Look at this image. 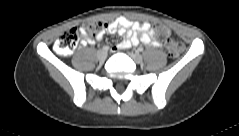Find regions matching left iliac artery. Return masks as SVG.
Returning a JSON list of instances; mask_svg holds the SVG:
<instances>
[{"label": "left iliac artery", "mask_w": 239, "mask_h": 136, "mask_svg": "<svg viewBox=\"0 0 239 136\" xmlns=\"http://www.w3.org/2000/svg\"><path fill=\"white\" fill-rule=\"evenodd\" d=\"M138 51L142 52V51H143V48L139 47V48H138Z\"/></svg>", "instance_id": "1"}]
</instances>
